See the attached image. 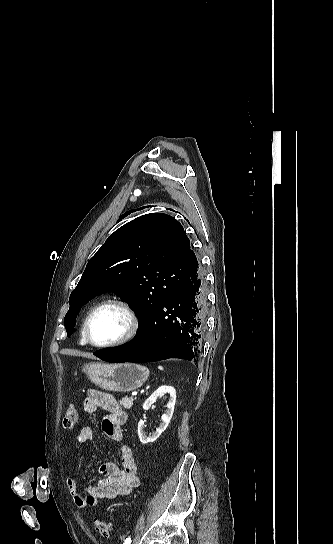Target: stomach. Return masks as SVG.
<instances>
[{"label": "stomach", "mask_w": 333, "mask_h": 544, "mask_svg": "<svg viewBox=\"0 0 333 544\" xmlns=\"http://www.w3.org/2000/svg\"><path fill=\"white\" fill-rule=\"evenodd\" d=\"M83 371L98 387L111 392H130L140 388L149 377V369L136 363L106 364L91 362Z\"/></svg>", "instance_id": "1"}]
</instances>
